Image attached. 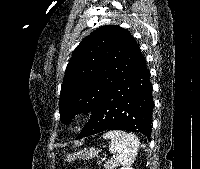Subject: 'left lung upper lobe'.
<instances>
[{
	"mask_svg": "<svg viewBox=\"0 0 200 169\" xmlns=\"http://www.w3.org/2000/svg\"><path fill=\"white\" fill-rule=\"evenodd\" d=\"M144 57L125 29L106 25L76 47L60 94V120L68 124L76 113L93 111L101 99L122 83Z\"/></svg>",
	"mask_w": 200,
	"mask_h": 169,
	"instance_id": "obj_1",
	"label": "left lung upper lobe"
}]
</instances>
